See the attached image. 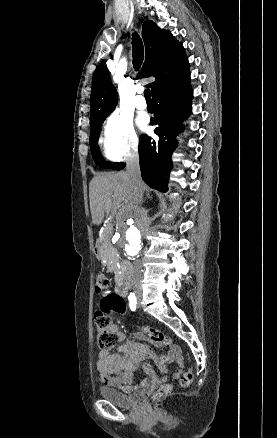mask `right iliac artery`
Listing matches in <instances>:
<instances>
[{
  "label": "right iliac artery",
  "mask_w": 277,
  "mask_h": 438,
  "mask_svg": "<svg viewBox=\"0 0 277 438\" xmlns=\"http://www.w3.org/2000/svg\"><path fill=\"white\" fill-rule=\"evenodd\" d=\"M129 300V307L131 311H135L136 310V304H137V299L135 295H129L128 297Z\"/></svg>",
  "instance_id": "right-iliac-artery-1"
}]
</instances>
